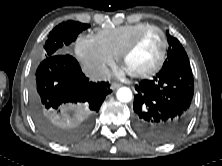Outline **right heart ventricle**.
Instances as JSON below:
<instances>
[{
	"label": "right heart ventricle",
	"mask_w": 222,
	"mask_h": 166,
	"mask_svg": "<svg viewBox=\"0 0 222 166\" xmlns=\"http://www.w3.org/2000/svg\"><path fill=\"white\" fill-rule=\"evenodd\" d=\"M149 26L147 23H137L98 31L93 37L98 44L112 57H118L124 47L141 30Z\"/></svg>",
	"instance_id": "1"
}]
</instances>
